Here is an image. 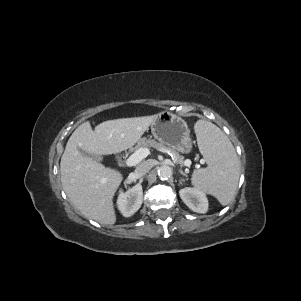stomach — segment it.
<instances>
[{
    "label": "stomach",
    "instance_id": "0dacf381",
    "mask_svg": "<svg viewBox=\"0 0 301 301\" xmlns=\"http://www.w3.org/2000/svg\"><path fill=\"white\" fill-rule=\"evenodd\" d=\"M151 132L155 139L174 151L189 154L193 149L187 123L175 114L167 111L157 114L151 124Z\"/></svg>",
    "mask_w": 301,
    "mask_h": 301
}]
</instances>
